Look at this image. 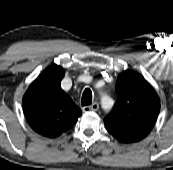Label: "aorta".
<instances>
[{"instance_id": "obj_1", "label": "aorta", "mask_w": 173, "mask_h": 170, "mask_svg": "<svg viewBox=\"0 0 173 170\" xmlns=\"http://www.w3.org/2000/svg\"><path fill=\"white\" fill-rule=\"evenodd\" d=\"M112 105H113V101L109 97H103V99H102V107L105 110L110 109L112 107Z\"/></svg>"}]
</instances>
